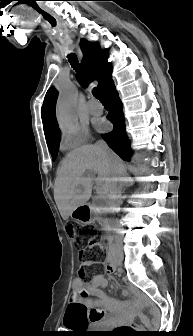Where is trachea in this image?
Instances as JSON below:
<instances>
[{
  "label": "trachea",
  "instance_id": "3493384b",
  "mask_svg": "<svg viewBox=\"0 0 193 336\" xmlns=\"http://www.w3.org/2000/svg\"><path fill=\"white\" fill-rule=\"evenodd\" d=\"M68 59H69V62L71 63L72 67L81 75V77H84L86 78L87 75H86V72L85 70L80 66V64H78V61H77V58L74 54H70L68 56ZM93 96L100 100V102L102 103H107V100L106 98L104 97V95L102 94V92L100 91V89L98 88H95L93 90Z\"/></svg>",
  "mask_w": 193,
  "mask_h": 336
}]
</instances>
